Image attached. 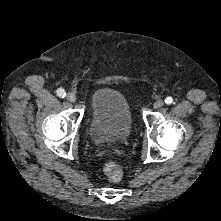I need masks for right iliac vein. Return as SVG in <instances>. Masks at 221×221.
Instances as JSON below:
<instances>
[{
  "label": "right iliac vein",
  "mask_w": 221,
  "mask_h": 221,
  "mask_svg": "<svg viewBox=\"0 0 221 221\" xmlns=\"http://www.w3.org/2000/svg\"><path fill=\"white\" fill-rule=\"evenodd\" d=\"M66 99H67L69 102L74 103V102L76 101V96H75L74 93L69 92V93H67V95H66Z\"/></svg>",
  "instance_id": "right-iliac-vein-1"
}]
</instances>
